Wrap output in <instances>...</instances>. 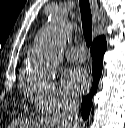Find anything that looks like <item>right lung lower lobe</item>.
Here are the masks:
<instances>
[{
    "label": "right lung lower lobe",
    "mask_w": 125,
    "mask_h": 128,
    "mask_svg": "<svg viewBox=\"0 0 125 128\" xmlns=\"http://www.w3.org/2000/svg\"><path fill=\"white\" fill-rule=\"evenodd\" d=\"M107 43L104 36L97 37L91 47V55L93 58V64H92V74H93V84L92 89L90 90V93L82 98V117L84 119H87L91 106H92V97L94 93L96 92L98 81L101 76L102 71V64H103V55L106 51Z\"/></svg>",
    "instance_id": "obj_1"
}]
</instances>
